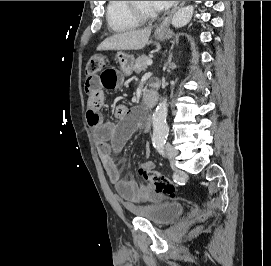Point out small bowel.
<instances>
[{"label": "small bowel", "mask_w": 271, "mask_h": 266, "mask_svg": "<svg viewBox=\"0 0 271 266\" xmlns=\"http://www.w3.org/2000/svg\"><path fill=\"white\" fill-rule=\"evenodd\" d=\"M123 81L121 69L115 65L105 64L99 74L87 77L85 91L88 95L86 119L102 152V162L109 181L128 207L136 204L158 203L163 195L157 193L151 185H139L134 179H122L113 155L119 151L130 135L144 122L140 109H129L125 105L115 108L118 123L104 121L100 109L104 103L103 90H115ZM145 168L154 170L152 163Z\"/></svg>", "instance_id": "small-bowel-1"}]
</instances>
